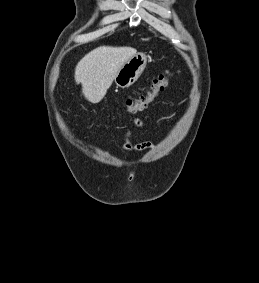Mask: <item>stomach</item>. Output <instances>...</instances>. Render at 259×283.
<instances>
[{"label":"stomach","instance_id":"stomach-1","mask_svg":"<svg viewBox=\"0 0 259 283\" xmlns=\"http://www.w3.org/2000/svg\"><path fill=\"white\" fill-rule=\"evenodd\" d=\"M146 63V55L143 53H137L121 67L114 78V82L121 88L131 86L140 77L146 67Z\"/></svg>","mask_w":259,"mask_h":283}]
</instances>
